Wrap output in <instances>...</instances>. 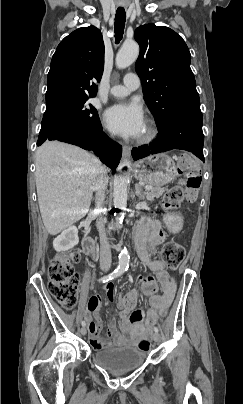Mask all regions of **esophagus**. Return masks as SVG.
<instances>
[{"label":"esophagus","instance_id":"esophagus-1","mask_svg":"<svg viewBox=\"0 0 243 404\" xmlns=\"http://www.w3.org/2000/svg\"><path fill=\"white\" fill-rule=\"evenodd\" d=\"M132 147L130 145H123V157L127 158L130 156Z\"/></svg>","mask_w":243,"mask_h":404}]
</instances>
